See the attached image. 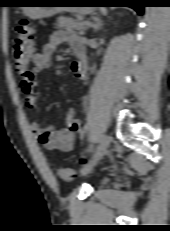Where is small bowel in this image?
Returning a JSON list of instances; mask_svg holds the SVG:
<instances>
[{
	"label": "small bowel",
	"mask_w": 170,
	"mask_h": 231,
	"mask_svg": "<svg viewBox=\"0 0 170 231\" xmlns=\"http://www.w3.org/2000/svg\"><path fill=\"white\" fill-rule=\"evenodd\" d=\"M62 43H69L76 53L81 52L83 55L82 43L76 35L65 30H57L49 36L42 52L34 57V79L29 81L22 80L20 83L25 105L31 113L36 111L39 97V93L35 89L38 84L37 75L50 66L52 55ZM71 71L78 80L87 83L88 76L83 57L71 64ZM79 127L80 122L75 117L74 109L67 111L64 118V127L60 130H56L51 126H44L40 120L34 121L31 125L32 132L47 150H60L63 152H69L73 149L76 132L79 130Z\"/></svg>",
	"instance_id": "obj_1"
}]
</instances>
